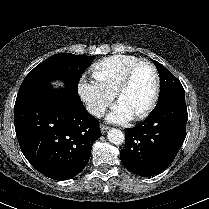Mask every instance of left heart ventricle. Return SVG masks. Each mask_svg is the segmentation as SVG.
I'll use <instances>...</instances> for the list:
<instances>
[{"label": "left heart ventricle", "mask_w": 209, "mask_h": 209, "mask_svg": "<svg viewBox=\"0 0 209 209\" xmlns=\"http://www.w3.org/2000/svg\"><path fill=\"white\" fill-rule=\"evenodd\" d=\"M155 79L152 70L140 66L133 75L130 85L119 96L122 103L135 116L150 102L154 91Z\"/></svg>", "instance_id": "1"}]
</instances>
